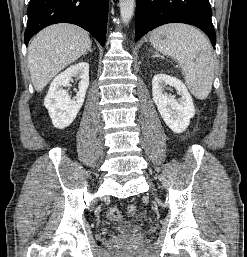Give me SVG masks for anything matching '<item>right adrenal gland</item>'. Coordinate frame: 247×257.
<instances>
[{"instance_id":"obj_1","label":"right adrenal gland","mask_w":247,"mask_h":257,"mask_svg":"<svg viewBox=\"0 0 247 257\" xmlns=\"http://www.w3.org/2000/svg\"><path fill=\"white\" fill-rule=\"evenodd\" d=\"M88 52H92V49L89 48L88 51L84 55H86Z\"/></svg>"}]
</instances>
